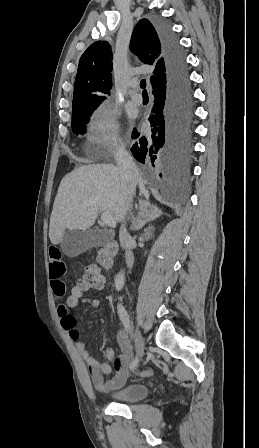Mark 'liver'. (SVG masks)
<instances>
[{
    "label": "liver",
    "mask_w": 259,
    "mask_h": 448,
    "mask_svg": "<svg viewBox=\"0 0 259 448\" xmlns=\"http://www.w3.org/2000/svg\"><path fill=\"white\" fill-rule=\"evenodd\" d=\"M138 186L139 196L149 200L150 192L143 182ZM127 200L116 166L92 164L76 168L64 176L58 188L49 226L52 244H61L65 230H89L98 212H109L117 222H121L127 214ZM154 214L153 210H148L147 216Z\"/></svg>",
    "instance_id": "liver-1"
}]
</instances>
